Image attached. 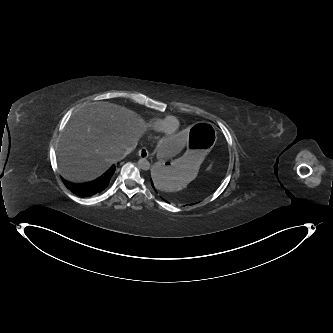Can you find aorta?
I'll list each match as a JSON object with an SVG mask.
<instances>
[{
	"label": "aorta",
	"mask_w": 333,
	"mask_h": 333,
	"mask_svg": "<svg viewBox=\"0 0 333 333\" xmlns=\"http://www.w3.org/2000/svg\"><path fill=\"white\" fill-rule=\"evenodd\" d=\"M137 164H138V167L142 170H149L150 169V163L145 158L139 159Z\"/></svg>",
	"instance_id": "aorta-1"
}]
</instances>
